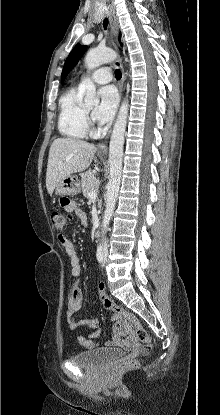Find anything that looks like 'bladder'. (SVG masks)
Listing matches in <instances>:
<instances>
[{
  "mask_svg": "<svg viewBox=\"0 0 220 415\" xmlns=\"http://www.w3.org/2000/svg\"><path fill=\"white\" fill-rule=\"evenodd\" d=\"M123 356L122 349L84 350L74 354L71 361L77 366L92 367Z\"/></svg>",
  "mask_w": 220,
  "mask_h": 415,
  "instance_id": "31cf9c89",
  "label": "bladder"
}]
</instances>
